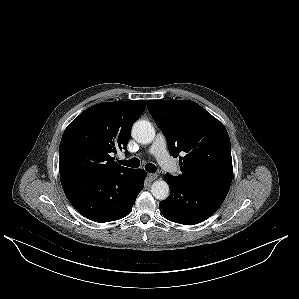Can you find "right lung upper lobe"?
I'll return each mask as SVG.
<instances>
[{
    "label": "right lung upper lobe",
    "mask_w": 299,
    "mask_h": 299,
    "mask_svg": "<svg viewBox=\"0 0 299 299\" xmlns=\"http://www.w3.org/2000/svg\"><path fill=\"white\" fill-rule=\"evenodd\" d=\"M144 110L145 101H116L82 112L68 125L60 142L61 181L133 172L114 162L111 154L126 149L131 128Z\"/></svg>",
    "instance_id": "1"
}]
</instances>
